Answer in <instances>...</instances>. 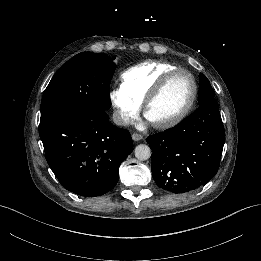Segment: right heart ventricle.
<instances>
[{
	"label": "right heart ventricle",
	"instance_id": "1",
	"mask_svg": "<svg viewBox=\"0 0 261 261\" xmlns=\"http://www.w3.org/2000/svg\"><path fill=\"white\" fill-rule=\"evenodd\" d=\"M174 68V65L163 61L138 63L121 74V87L141 104L160 78Z\"/></svg>",
	"mask_w": 261,
	"mask_h": 261
}]
</instances>
